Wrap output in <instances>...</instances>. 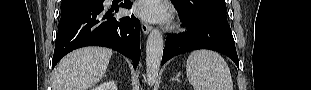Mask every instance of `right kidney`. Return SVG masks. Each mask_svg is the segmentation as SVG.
Instances as JSON below:
<instances>
[{"instance_id":"1","label":"right kidney","mask_w":311,"mask_h":90,"mask_svg":"<svg viewBox=\"0 0 311 90\" xmlns=\"http://www.w3.org/2000/svg\"><path fill=\"white\" fill-rule=\"evenodd\" d=\"M107 89H113L116 90V86L114 85L113 82H108L106 84H103L101 86H99L98 88H94L93 90H107Z\"/></svg>"}]
</instances>
